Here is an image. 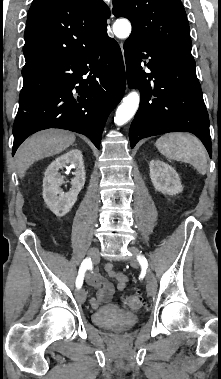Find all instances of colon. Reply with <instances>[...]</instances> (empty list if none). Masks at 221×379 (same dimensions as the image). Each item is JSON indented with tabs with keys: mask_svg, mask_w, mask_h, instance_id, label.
Here are the masks:
<instances>
[{
	"mask_svg": "<svg viewBox=\"0 0 221 379\" xmlns=\"http://www.w3.org/2000/svg\"><path fill=\"white\" fill-rule=\"evenodd\" d=\"M144 300L138 295H129L122 300V306L130 309H137L142 306Z\"/></svg>",
	"mask_w": 221,
	"mask_h": 379,
	"instance_id": "colon-1",
	"label": "colon"
}]
</instances>
